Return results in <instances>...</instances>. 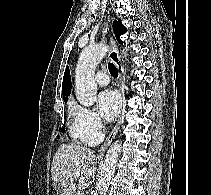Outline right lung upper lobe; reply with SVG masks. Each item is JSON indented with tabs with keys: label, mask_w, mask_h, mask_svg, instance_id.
<instances>
[{
	"label": "right lung upper lobe",
	"mask_w": 211,
	"mask_h": 195,
	"mask_svg": "<svg viewBox=\"0 0 211 195\" xmlns=\"http://www.w3.org/2000/svg\"><path fill=\"white\" fill-rule=\"evenodd\" d=\"M71 93V77L69 68L66 67L64 77H63V84H62V94L65 96L64 101H67V97Z\"/></svg>",
	"instance_id": "obj_1"
}]
</instances>
